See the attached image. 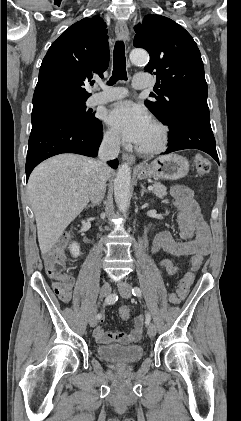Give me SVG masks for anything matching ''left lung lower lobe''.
<instances>
[{"label":"left lung lower lobe","mask_w":241,"mask_h":421,"mask_svg":"<svg viewBox=\"0 0 241 421\" xmlns=\"http://www.w3.org/2000/svg\"><path fill=\"white\" fill-rule=\"evenodd\" d=\"M168 137L170 144L164 154L183 149H199L211 155L219 163L209 109H196L188 114L181 121L177 132Z\"/></svg>","instance_id":"1"}]
</instances>
